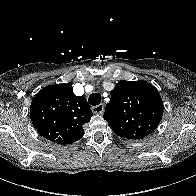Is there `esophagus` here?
Instances as JSON below:
<instances>
[{"label":"esophagus","instance_id":"34e87169","mask_svg":"<svg viewBox=\"0 0 196 196\" xmlns=\"http://www.w3.org/2000/svg\"><path fill=\"white\" fill-rule=\"evenodd\" d=\"M92 111L94 114H102L104 112V104L100 103L96 106H93Z\"/></svg>","mask_w":196,"mask_h":196}]
</instances>
